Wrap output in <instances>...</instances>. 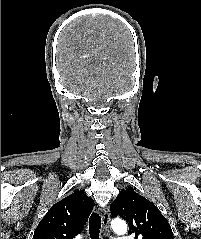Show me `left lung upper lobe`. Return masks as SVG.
<instances>
[{
  "instance_id": "obj_1",
  "label": "left lung upper lobe",
  "mask_w": 201,
  "mask_h": 239,
  "mask_svg": "<svg viewBox=\"0 0 201 239\" xmlns=\"http://www.w3.org/2000/svg\"><path fill=\"white\" fill-rule=\"evenodd\" d=\"M111 215H120L135 239H174L171 227L158 208L132 187L122 190L111 203Z\"/></svg>"
}]
</instances>
